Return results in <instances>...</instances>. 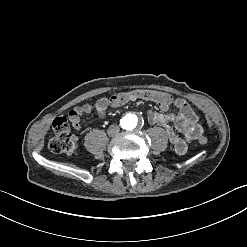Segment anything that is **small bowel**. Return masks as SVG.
Masks as SVG:
<instances>
[{"label":"small bowel","mask_w":247,"mask_h":247,"mask_svg":"<svg viewBox=\"0 0 247 247\" xmlns=\"http://www.w3.org/2000/svg\"><path fill=\"white\" fill-rule=\"evenodd\" d=\"M109 105H112L109 97H102L92 103H84L74 107L68 114L69 122L76 131L81 130V118L83 115L95 112L100 118L106 116ZM177 112L175 114L150 110L147 112V121L151 125H160L167 131L171 145L177 155L183 156L188 151V145L198 139L202 133V127L197 123V115L189 103L181 98H175L173 105Z\"/></svg>","instance_id":"obj_1"}]
</instances>
